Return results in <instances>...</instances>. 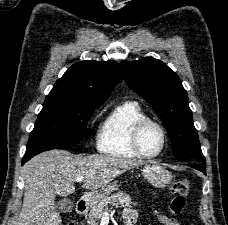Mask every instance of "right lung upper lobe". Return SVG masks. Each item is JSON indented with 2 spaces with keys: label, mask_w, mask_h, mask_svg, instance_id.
Wrapping results in <instances>:
<instances>
[{
  "label": "right lung upper lobe",
  "mask_w": 228,
  "mask_h": 225,
  "mask_svg": "<svg viewBox=\"0 0 228 225\" xmlns=\"http://www.w3.org/2000/svg\"><path fill=\"white\" fill-rule=\"evenodd\" d=\"M122 80L115 61L84 60L73 64L54 84L51 94L90 103L102 104Z\"/></svg>",
  "instance_id": "1"
}]
</instances>
